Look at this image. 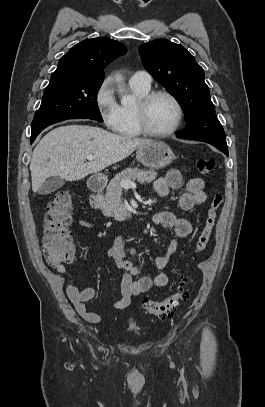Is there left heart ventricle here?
Returning <instances> with one entry per match:
<instances>
[{"instance_id":"b2bd125f","label":"left heart ventricle","mask_w":265,"mask_h":407,"mask_svg":"<svg viewBox=\"0 0 265 407\" xmlns=\"http://www.w3.org/2000/svg\"><path fill=\"white\" fill-rule=\"evenodd\" d=\"M177 110L174 103L165 96L153 100L148 109V125L156 132L169 130L176 121Z\"/></svg>"}]
</instances>
